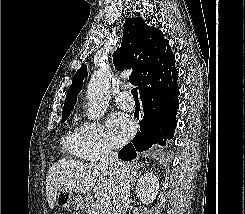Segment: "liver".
I'll return each instance as SVG.
<instances>
[{
	"instance_id": "6515ba94",
	"label": "liver",
	"mask_w": 245,
	"mask_h": 214,
	"mask_svg": "<svg viewBox=\"0 0 245 214\" xmlns=\"http://www.w3.org/2000/svg\"><path fill=\"white\" fill-rule=\"evenodd\" d=\"M129 171L133 165L128 164ZM116 175L96 163H84L70 159H59L48 170L46 195L49 207L54 208L60 189L75 193H87L93 189L97 196L113 198Z\"/></svg>"
}]
</instances>
